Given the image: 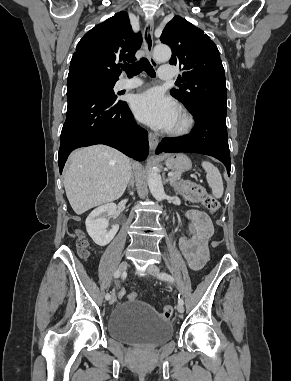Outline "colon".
<instances>
[{
	"mask_svg": "<svg viewBox=\"0 0 291 381\" xmlns=\"http://www.w3.org/2000/svg\"><path fill=\"white\" fill-rule=\"evenodd\" d=\"M178 192L186 200L192 203H201L211 214H216L219 210L218 200L214 196L210 195L202 185L190 181H184L178 185ZM213 245L216 246L217 243L214 242ZM78 247L80 249V255L82 257L87 258L91 255L88 242L83 237L79 239ZM119 296L124 297L125 292L123 290H120ZM127 298L129 300H135L137 299V294L135 292H130L127 294ZM172 315L173 307L171 305L164 306L161 312V316L169 320L172 317Z\"/></svg>",
	"mask_w": 291,
	"mask_h": 381,
	"instance_id": "1",
	"label": "colon"
}]
</instances>
